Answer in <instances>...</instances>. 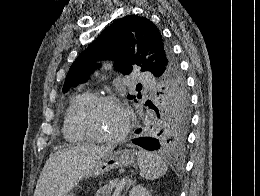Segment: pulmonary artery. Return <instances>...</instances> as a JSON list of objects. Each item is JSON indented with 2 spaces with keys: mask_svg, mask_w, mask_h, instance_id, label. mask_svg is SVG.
Here are the masks:
<instances>
[{
  "mask_svg": "<svg viewBox=\"0 0 260 196\" xmlns=\"http://www.w3.org/2000/svg\"><path fill=\"white\" fill-rule=\"evenodd\" d=\"M136 76L141 84H155V79H152L150 72H137Z\"/></svg>",
  "mask_w": 260,
  "mask_h": 196,
  "instance_id": "pulmonary-artery-1",
  "label": "pulmonary artery"
}]
</instances>
